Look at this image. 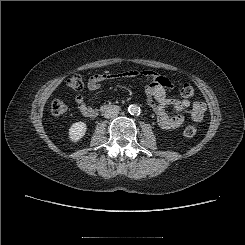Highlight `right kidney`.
<instances>
[{
	"label": "right kidney",
	"mask_w": 245,
	"mask_h": 245,
	"mask_svg": "<svg viewBox=\"0 0 245 245\" xmlns=\"http://www.w3.org/2000/svg\"><path fill=\"white\" fill-rule=\"evenodd\" d=\"M87 130V126L84 122L79 121V122H75L71 125V127L69 128V139L72 142H78L79 140H81Z\"/></svg>",
	"instance_id": "obj_1"
}]
</instances>
